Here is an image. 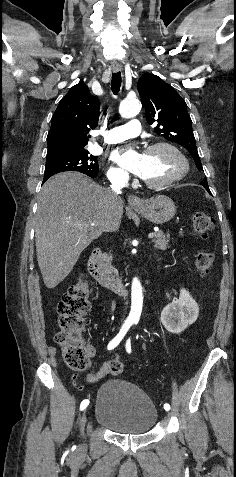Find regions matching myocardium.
Wrapping results in <instances>:
<instances>
[{
  "mask_svg": "<svg viewBox=\"0 0 236 477\" xmlns=\"http://www.w3.org/2000/svg\"><path fill=\"white\" fill-rule=\"evenodd\" d=\"M160 148H167L171 152H173L181 160L182 168L176 175L161 182H150L142 178L143 184L152 189H163L179 182L181 179H183L187 175L190 169V164L185 154L176 145H174L171 142L161 141V142L153 143L146 148L145 153L156 150V149H160Z\"/></svg>",
  "mask_w": 236,
  "mask_h": 477,
  "instance_id": "1",
  "label": "myocardium"
}]
</instances>
